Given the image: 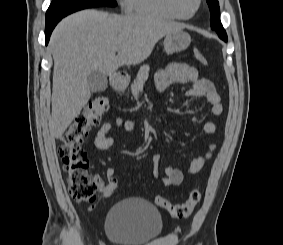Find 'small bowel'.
Returning a JSON list of instances; mask_svg holds the SVG:
<instances>
[{
	"instance_id": "1",
	"label": "small bowel",
	"mask_w": 283,
	"mask_h": 245,
	"mask_svg": "<svg viewBox=\"0 0 283 245\" xmlns=\"http://www.w3.org/2000/svg\"><path fill=\"white\" fill-rule=\"evenodd\" d=\"M174 83L191 84V88L187 91V96L204 97L210 105L212 115L218 116L222 113L221 99L213 83L206 78L200 77L195 67L186 63H170L156 74L155 84L159 93L165 92L166 89ZM137 126L138 123L135 120H123L120 117L115 118L113 122H105L97 131L94 146L99 150H107L111 148L116 141L114 136L109 135L114 128L123 129L125 132H132ZM203 130L207 135H213L216 131V126L214 123L207 121L203 125ZM216 148V143L209 141L206 145L205 152L191 161L187 168V173H198L212 158ZM151 160L153 163V176L160 180L165 186H178L182 183L184 175L181 170L168 166L162 173L159 168L161 161L160 155H152ZM105 175L108 179L114 178L115 169L108 167L105 171ZM95 181L98 191L102 193L105 186L103 180L96 176Z\"/></svg>"
}]
</instances>
